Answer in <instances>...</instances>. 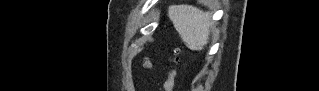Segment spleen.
<instances>
[{"mask_svg": "<svg viewBox=\"0 0 319 91\" xmlns=\"http://www.w3.org/2000/svg\"><path fill=\"white\" fill-rule=\"evenodd\" d=\"M168 16L181 39L191 50H202L210 35V16L191 5L170 6Z\"/></svg>", "mask_w": 319, "mask_h": 91, "instance_id": "1", "label": "spleen"}]
</instances>
